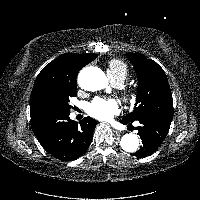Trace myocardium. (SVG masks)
Segmentation results:
<instances>
[{
  "instance_id": "myocardium-1",
  "label": "myocardium",
  "mask_w": 200,
  "mask_h": 200,
  "mask_svg": "<svg viewBox=\"0 0 200 200\" xmlns=\"http://www.w3.org/2000/svg\"><path fill=\"white\" fill-rule=\"evenodd\" d=\"M134 97V92L131 89L123 88L122 89V98L125 102H130Z\"/></svg>"
}]
</instances>
